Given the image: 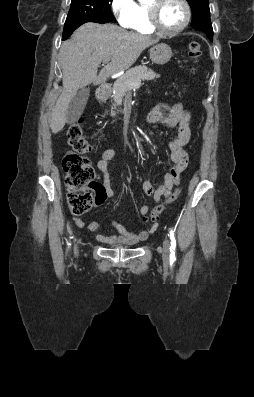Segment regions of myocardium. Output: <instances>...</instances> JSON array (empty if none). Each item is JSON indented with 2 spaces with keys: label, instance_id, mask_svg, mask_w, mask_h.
Segmentation results:
<instances>
[{
  "label": "myocardium",
  "instance_id": "1",
  "mask_svg": "<svg viewBox=\"0 0 254 397\" xmlns=\"http://www.w3.org/2000/svg\"><path fill=\"white\" fill-rule=\"evenodd\" d=\"M165 0H154L148 7L149 24L154 32L164 36H175L185 30L191 18V8L186 0H178L184 8V19L179 27L173 30L164 29L158 20V8Z\"/></svg>",
  "mask_w": 254,
  "mask_h": 397
}]
</instances>
